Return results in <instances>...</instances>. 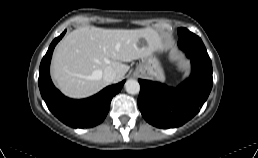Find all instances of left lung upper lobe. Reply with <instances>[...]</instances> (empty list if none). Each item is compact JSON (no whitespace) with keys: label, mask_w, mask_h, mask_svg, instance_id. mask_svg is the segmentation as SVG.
Listing matches in <instances>:
<instances>
[{"label":"left lung upper lobe","mask_w":258,"mask_h":158,"mask_svg":"<svg viewBox=\"0 0 258 158\" xmlns=\"http://www.w3.org/2000/svg\"><path fill=\"white\" fill-rule=\"evenodd\" d=\"M187 31H189V30H187L186 28H179L178 29L179 37L185 35L187 33Z\"/></svg>","instance_id":"1"}]
</instances>
